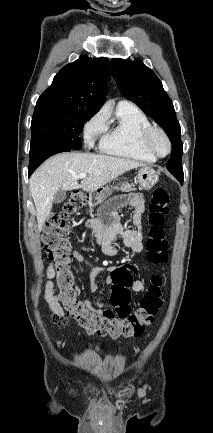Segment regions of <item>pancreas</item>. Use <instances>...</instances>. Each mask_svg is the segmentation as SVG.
Here are the masks:
<instances>
[{
  "label": "pancreas",
  "instance_id": "cf45deb5",
  "mask_svg": "<svg viewBox=\"0 0 213 433\" xmlns=\"http://www.w3.org/2000/svg\"><path fill=\"white\" fill-rule=\"evenodd\" d=\"M134 186H135L134 184L129 185V184L126 183L124 187H121V190H122V191H131V190H135Z\"/></svg>",
  "mask_w": 213,
  "mask_h": 433
}]
</instances>
